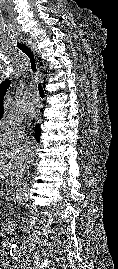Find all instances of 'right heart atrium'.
Instances as JSON below:
<instances>
[{
    "instance_id": "d8ad5b80",
    "label": "right heart atrium",
    "mask_w": 118,
    "mask_h": 269,
    "mask_svg": "<svg viewBox=\"0 0 118 269\" xmlns=\"http://www.w3.org/2000/svg\"><path fill=\"white\" fill-rule=\"evenodd\" d=\"M22 121V115L16 112H10L8 114V122L12 125H19Z\"/></svg>"
}]
</instances>
